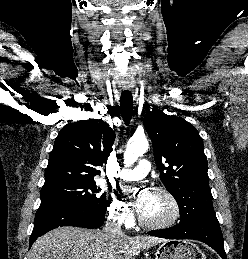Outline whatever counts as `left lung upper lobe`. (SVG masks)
I'll use <instances>...</instances> for the list:
<instances>
[{
    "mask_svg": "<svg viewBox=\"0 0 248 259\" xmlns=\"http://www.w3.org/2000/svg\"><path fill=\"white\" fill-rule=\"evenodd\" d=\"M143 123L153 143L160 178L178 203L180 222L215 215L207 158L195 127L161 110L147 113Z\"/></svg>",
    "mask_w": 248,
    "mask_h": 259,
    "instance_id": "left-lung-upper-lobe-1",
    "label": "left lung upper lobe"
}]
</instances>
